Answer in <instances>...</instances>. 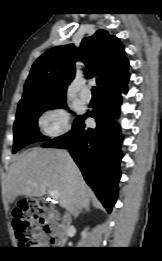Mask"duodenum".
<instances>
[{
    "label": "duodenum",
    "instance_id": "duodenum-1",
    "mask_svg": "<svg viewBox=\"0 0 162 261\" xmlns=\"http://www.w3.org/2000/svg\"><path fill=\"white\" fill-rule=\"evenodd\" d=\"M43 227L45 232L52 236V243L59 247L64 246L68 237L71 236L68 227L61 226L53 220H46Z\"/></svg>",
    "mask_w": 162,
    "mask_h": 261
}]
</instances>
